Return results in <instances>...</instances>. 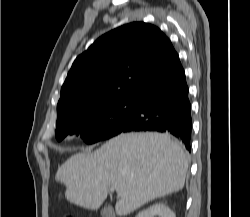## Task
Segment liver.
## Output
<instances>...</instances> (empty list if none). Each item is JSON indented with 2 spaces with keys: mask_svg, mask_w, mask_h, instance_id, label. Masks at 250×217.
Masks as SVG:
<instances>
[{
  "mask_svg": "<svg viewBox=\"0 0 250 217\" xmlns=\"http://www.w3.org/2000/svg\"><path fill=\"white\" fill-rule=\"evenodd\" d=\"M188 160L183 147L167 134H120L94 152L71 156L56 173L66 199L97 210L114 187L116 214L126 216L144 204L184 187Z\"/></svg>",
  "mask_w": 250,
  "mask_h": 217,
  "instance_id": "1",
  "label": "liver"
}]
</instances>
